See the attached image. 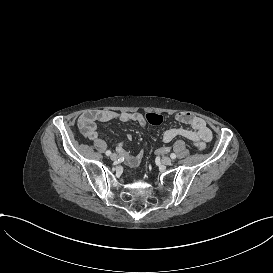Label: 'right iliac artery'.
<instances>
[{
  "instance_id": "obj_1",
  "label": "right iliac artery",
  "mask_w": 273,
  "mask_h": 273,
  "mask_svg": "<svg viewBox=\"0 0 273 273\" xmlns=\"http://www.w3.org/2000/svg\"><path fill=\"white\" fill-rule=\"evenodd\" d=\"M106 155H107V156L111 155V151H110V150H107V151H106Z\"/></svg>"
}]
</instances>
